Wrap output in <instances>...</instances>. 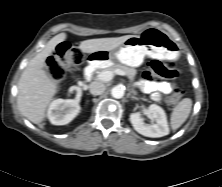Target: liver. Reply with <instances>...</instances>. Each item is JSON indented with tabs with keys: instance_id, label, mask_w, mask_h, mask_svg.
<instances>
[{
	"instance_id": "liver-1",
	"label": "liver",
	"mask_w": 222,
	"mask_h": 187,
	"mask_svg": "<svg viewBox=\"0 0 222 187\" xmlns=\"http://www.w3.org/2000/svg\"><path fill=\"white\" fill-rule=\"evenodd\" d=\"M132 36L89 39L82 41L79 49L83 53H93L100 50L111 51ZM65 39L66 33H60L51 38L42 51L30 60L20 77L17 96L18 109L34 124L43 122L46 108L58 90L57 80L44 70L45 61L55 47Z\"/></svg>"
}]
</instances>
